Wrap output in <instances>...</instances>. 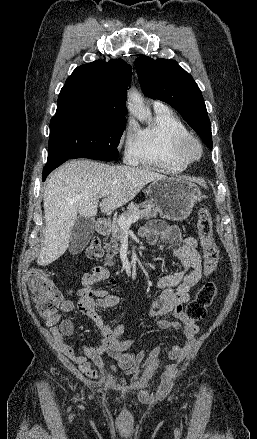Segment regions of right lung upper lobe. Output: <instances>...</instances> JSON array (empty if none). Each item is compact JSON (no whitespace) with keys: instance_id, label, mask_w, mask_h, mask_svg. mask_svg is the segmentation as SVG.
I'll list each match as a JSON object with an SVG mask.
<instances>
[{"instance_id":"cb5924a9","label":"right lung upper lobe","mask_w":257,"mask_h":439,"mask_svg":"<svg viewBox=\"0 0 257 439\" xmlns=\"http://www.w3.org/2000/svg\"><path fill=\"white\" fill-rule=\"evenodd\" d=\"M131 76V66L121 59L97 60L77 67L61 89L55 116L80 111L126 114Z\"/></svg>"}]
</instances>
